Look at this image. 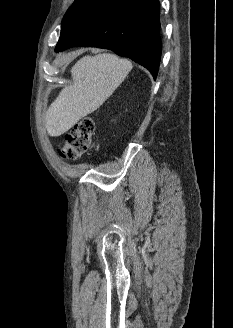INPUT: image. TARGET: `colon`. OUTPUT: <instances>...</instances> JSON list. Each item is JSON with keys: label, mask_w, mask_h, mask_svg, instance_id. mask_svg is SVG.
I'll return each mask as SVG.
<instances>
[{"label": "colon", "mask_w": 233, "mask_h": 328, "mask_svg": "<svg viewBox=\"0 0 233 328\" xmlns=\"http://www.w3.org/2000/svg\"><path fill=\"white\" fill-rule=\"evenodd\" d=\"M95 123L92 118L80 119L74 127L64 136V142L58 152L64 159H77L89 152L94 147Z\"/></svg>", "instance_id": "1"}]
</instances>
